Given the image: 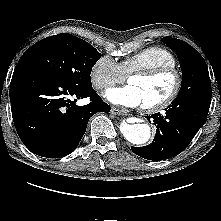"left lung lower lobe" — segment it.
<instances>
[{
	"instance_id": "0a47b994",
	"label": "left lung lower lobe",
	"mask_w": 221,
	"mask_h": 221,
	"mask_svg": "<svg viewBox=\"0 0 221 221\" xmlns=\"http://www.w3.org/2000/svg\"><path fill=\"white\" fill-rule=\"evenodd\" d=\"M212 89L202 90L194 96L173 101L165 110L146 118L156 126L154 141L144 147H131L132 151L147 160H165L181 153L197 131L205 124L211 103Z\"/></svg>"
}]
</instances>
